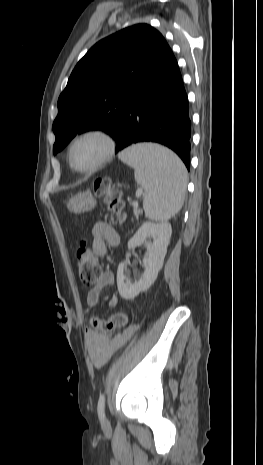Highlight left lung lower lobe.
Wrapping results in <instances>:
<instances>
[{
  "mask_svg": "<svg viewBox=\"0 0 263 465\" xmlns=\"http://www.w3.org/2000/svg\"><path fill=\"white\" fill-rule=\"evenodd\" d=\"M191 121L177 61L167 46L137 81L115 135L118 153L137 142L160 143L190 169Z\"/></svg>",
  "mask_w": 263,
  "mask_h": 465,
  "instance_id": "obj_1",
  "label": "left lung lower lobe"
}]
</instances>
